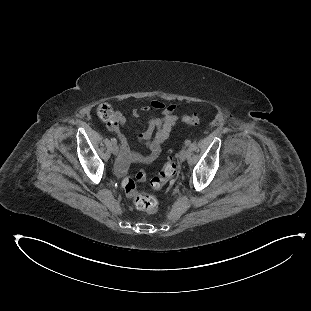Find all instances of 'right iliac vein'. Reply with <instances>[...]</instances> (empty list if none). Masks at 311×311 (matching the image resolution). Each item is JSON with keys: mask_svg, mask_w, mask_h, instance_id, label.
<instances>
[{"mask_svg": "<svg viewBox=\"0 0 311 311\" xmlns=\"http://www.w3.org/2000/svg\"><path fill=\"white\" fill-rule=\"evenodd\" d=\"M112 153L117 156L119 154V147L117 144H113Z\"/></svg>", "mask_w": 311, "mask_h": 311, "instance_id": "1", "label": "right iliac vein"}]
</instances>
